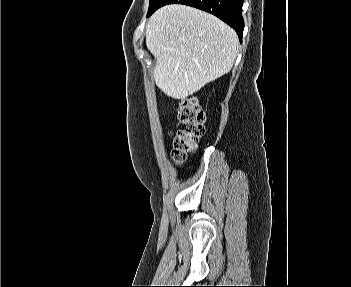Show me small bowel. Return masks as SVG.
Instances as JSON below:
<instances>
[{"label": "small bowel", "instance_id": "obj_1", "mask_svg": "<svg viewBox=\"0 0 351 287\" xmlns=\"http://www.w3.org/2000/svg\"><path fill=\"white\" fill-rule=\"evenodd\" d=\"M168 135H172V131H169V132H168Z\"/></svg>", "mask_w": 351, "mask_h": 287}]
</instances>
